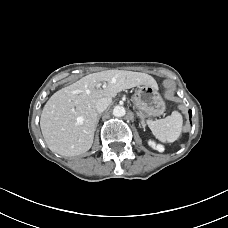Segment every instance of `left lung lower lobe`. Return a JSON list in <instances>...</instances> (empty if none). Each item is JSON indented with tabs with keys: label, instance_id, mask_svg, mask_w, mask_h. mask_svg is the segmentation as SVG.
Returning a JSON list of instances; mask_svg holds the SVG:
<instances>
[{
	"label": "left lung lower lobe",
	"instance_id": "0a47b994",
	"mask_svg": "<svg viewBox=\"0 0 228 228\" xmlns=\"http://www.w3.org/2000/svg\"><path fill=\"white\" fill-rule=\"evenodd\" d=\"M189 115H190V117H191V115H192V112H191V110H189Z\"/></svg>",
	"mask_w": 228,
	"mask_h": 228
}]
</instances>
